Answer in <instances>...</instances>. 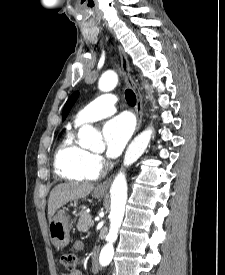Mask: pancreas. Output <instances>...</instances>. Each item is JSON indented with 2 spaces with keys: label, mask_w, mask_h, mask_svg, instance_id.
Wrapping results in <instances>:
<instances>
[{
  "label": "pancreas",
  "mask_w": 225,
  "mask_h": 275,
  "mask_svg": "<svg viewBox=\"0 0 225 275\" xmlns=\"http://www.w3.org/2000/svg\"><path fill=\"white\" fill-rule=\"evenodd\" d=\"M92 216L87 212H81L79 214V220L77 223V229L80 232H87L92 226L91 224Z\"/></svg>",
  "instance_id": "1"
}]
</instances>
